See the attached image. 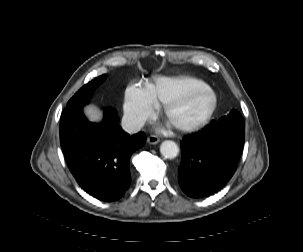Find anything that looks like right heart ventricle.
Instances as JSON below:
<instances>
[{"mask_svg":"<svg viewBox=\"0 0 303 252\" xmlns=\"http://www.w3.org/2000/svg\"><path fill=\"white\" fill-rule=\"evenodd\" d=\"M201 84L193 78H160L145 89V94L153 105H166L184 98Z\"/></svg>","mask_w":303,"mask_h":252,"instance_id":"obj_1","label":"right heart ventricle"}]
</instances>
